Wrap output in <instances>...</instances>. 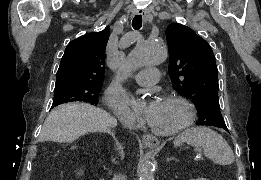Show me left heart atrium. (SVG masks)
Listing matches in <instances>:
<instances>
[{"label":"left heart atrium","mask_w":261,"mask_h":180,"mask_svg":"<svg viewBox=\"0 0 261 180\" xmlns=\"http://www.w3.org/2000/svg\"><path fill=\"white\" fill-rule=\"evenodd\" d=\"M158 101L155 99L146 100L140 107L135 109L134 115L146 121L156 108Z\"/></svg>","instance_id":"left-heart-atrium-1"}]
</instances>
